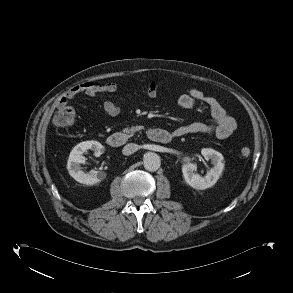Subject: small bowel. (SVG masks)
<instances>
[{"instance_id": "obj_1", "label": "small bowel", "mask_w": 293, "mask_h": 293, "mask_svg": "<svg viewBox=\"0 0 293 293\" xmlns=\"http://www.w3.org/2000/svg\"><path fill=\"white\" fill-rule=\"evenodd\" d=\"M117 90V84L112 82L104 84L94 82L82 83L68 90L59 100V105L67 104L69 100L74 99L78 95L95 97L99 94L114 93ZM158 91V85L151 83L146 91L147 98L155 99ZM198 103H204L207 106L214 122L212 124L195 122L181 126L172 132L174 137L189 134H214L219 139H226L232 135L237 126L236 121L213 96L206 95L199 88H192L188 93L182 94L177 100L178 106L183 109H193ZM103 110L111 117L116 116L120 111L119 107L110 100L103 103Z\"/></svg>"}]
</instances>
